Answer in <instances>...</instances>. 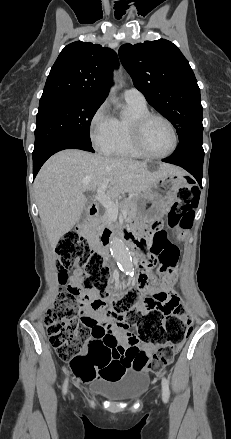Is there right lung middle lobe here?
<instances>
[{
    "label": "right lung middle lobe",
    "instance_id": "1",
    "mask_svg": "<svg viewBox=\"0 0 231 439\" xmlns=\"http://www.w3.org/2000/svg\"><path fill=\"white\" fill-rule=\"evenodd\" d=\"M103 102L84 98H57L39 103L34 150L68 136L91 145L90 123Z\"/></svg>",
    "mask_w": 231,
    "mask_h": 439
}]
</instances>
